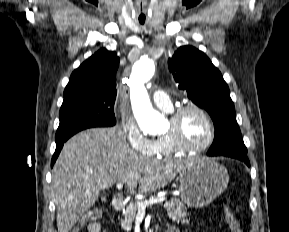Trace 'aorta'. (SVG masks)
<instances>
[{
    "label": "aorta",
    "mask_w": 289,
    "mask_h": 232,
    "mask_svg": "<svg viewBox=\"0 0 289 232\" xmlns=\"http://www.w3.org/2000/svg\"><path fill=\"white\" fill-rule=\"evenodd\" d=\"M154 62L142 57L135 63L132 73L133 111L141 130L145 134L155 135L165 128L164 117L153 109L144 83L154 74Z\"/></svg>",
    "instance_id": "aorta-1"
}]
</instances>
